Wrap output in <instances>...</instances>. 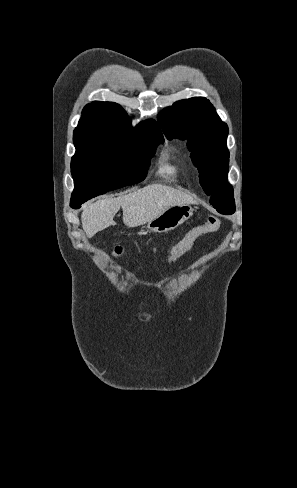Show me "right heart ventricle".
<instances>
[{
    "instance_id": "obj_1",
    "label": "right heart ventricle",
    "mask_w": 297,
    "mask_h": 488,
    "mask_svg": "<svg viewBox=\"0 0 297 488\" xmlns=\"http://www.w3.org/2000/svg\"><path fill=\"white\" fill-rule=\"evenodd\" d=\"M179 161V152L176 147L166 146L160 154L158 174L170 179L177 177L180 171Z\"/></svg>"
}]
</instances>
